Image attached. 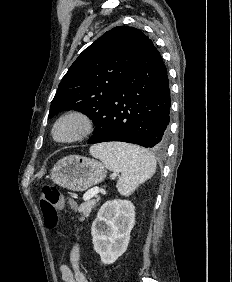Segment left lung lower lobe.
Instances as JSON below:
<instances>
[{"instance_id":"1","label":"left lung lower lobe","mask_w":232,"mask_h":282,"mask_svg":"<svg viewBox=\"0 0 232 282\" xmlns=\"http://www.w3.org/2000/svg\"><path fill=\"white\" fill-rule=\"evenodd\" d=\"M170 108L167 69L149 39L138 63L96 124L88 144L121 141L163 148L168 141Z\"/></svg>"}]
</instances>
